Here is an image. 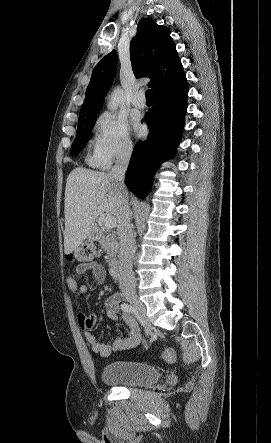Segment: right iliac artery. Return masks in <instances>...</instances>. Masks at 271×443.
<instances>
[{
    "label": "right iliac artery",
    "mask_w": 271,
    "mask_h": 443,
    "mask_svg": "<svg viewBox=\"0 0 271 443\" xmlns=\"http://www.w3.org/2000/svg\"><path fill=\"white\" fill-rule=\"evenodd\" d=\"M121 309L124 312H128V313L133 314L137 318V320L141 321V317L139 316V313L134 306H132L128 303H123V304H121Z\"/></svg>",
    "instance_id": "right-iliac-artery-1"
}]
</instances>
